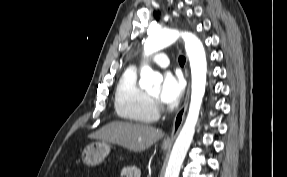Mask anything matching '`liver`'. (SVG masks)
I'll return each mask as SVG.
<instances>
[{
    "mask_svg": "<svg viewBox=\"0 0 287 177\" xmlns=\"http://www.w3.org/2000/svg\"><path fill=\"white\" fill-rule=\"evenodd\" d=\"M155 127L129 122H110L89 137L122 146L133 152H142L163 137Z\"/></svg>",
    "mask_w": 287,
    "mask_h": 177,
    "instance_id": "obj_1",
    "label": "liver"
}]
</instances>
